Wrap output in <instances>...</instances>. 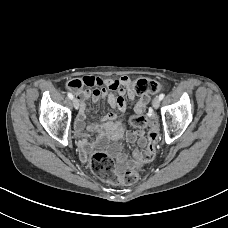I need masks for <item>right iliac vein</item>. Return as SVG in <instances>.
I'll return each instance as SVG.
<instances>
[{"label": "right iliac vein", "instance_id": "63e3f726", "mask_svg": "<svg viewBox=\"0 0 228 228\" xmlns=\"http://www.w3.org/2000/svg\"><path fill=\"white\" fill-rule=\"evenodd\" d=\"M79 101H78V99H76V98H74L73 99V106H74V108L77 110L78 108H79Z\"/></svg>", "mask_w": 228, "mask_h": 228}]
</instances>
